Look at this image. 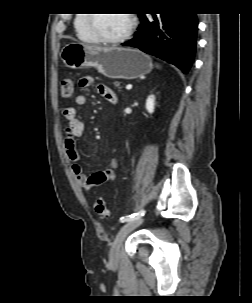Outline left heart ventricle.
Listing matches in <instances>:
<instances>
[{
  "label": "left heart ventricle",
  "instance_id": "obj_1",
  "mask_svg": "<svg viewBox=\"0 0 252 303\" xmlns=\"http://www.w3.org/2000/svg\"><path fill=\"white\" fill-rule=\"evenodd\" d=\"M129 16L127 14H96L95 29L107 37L122 34L128 27Z\"/></svg>",
  "mask_w": 252,
  "mask_h": 303
}]
</instances>
